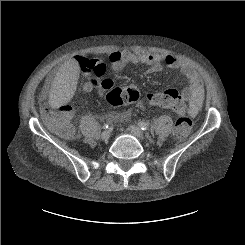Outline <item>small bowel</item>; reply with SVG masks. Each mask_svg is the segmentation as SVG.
Instances as JSON below:
<instances>
[{"label": "small bowel", "instance_id": "1", "mask_svg": "<svg viewBox=\"0 0 245 245\" xmlns=\"http://www.w3.org/2000/svg\"><path fill=\"white\" fill-rule=\"evenodd\" d=\"M108 59L114 71H121L131 64L146 65L149 67L148 71L150 73L160 72L163 65H166L171 69L179 70L189 82L188 87H186L181 93L183 100L188 103L187 114L193 117L200 111L204 101V88L202 81L198 72L192 66L180 60L177 56L173 54H154L132 50H118L110 52L108 54ZM76 69L77 64L75 58H69L64 60L56 68V74L65 75L69 72L75 71ZM94 80V78H89L87 80L84 91H101L94 87ZM98 80L102 85L111 86V81L109 79ZM136 105L140 108H144L148 103L144 100H139Z\"/></svg>", "mask_w": 245, "mask_h": 245}]
</instances>
